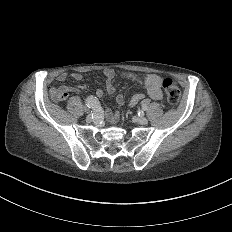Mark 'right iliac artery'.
<instances>
[{"label": "right iliac artery", "mask_w": 232, "mask_h": 232, "mask_svg": "<svg viewBox=\"0 0 232 232\" xmlns=\"http://www.w3.org/2000/svg\"><path fill=\"white\" fill-rule=\"evenodd\" d=\"M99 104V100L96 96L91 95L86 99V106L89 108H94Z\"/></svg>", "instance_id": "1"}]
</instances>
